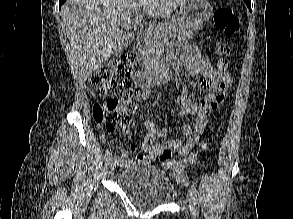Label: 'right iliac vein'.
<instances>
[{"label":"right iliac vein","mask_w":293,"mask_h":219,"mask_svg":"<svg viewBox=\"0 0 293 219\" xmlns=\"http://www.w3.org/2000/svg\"><path fill=\"white\" fill-rule=\"evenodd\" d=\"M115 168V163L114 161L111 159L109 160L108 164H107V169H108V172L111 173Z\"/></svg>","instance_id":"1"}]
</instances>
